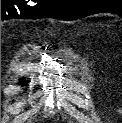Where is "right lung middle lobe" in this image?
Masks as SVG:
<instances>
[{"mask_svg": "<svg viewBox=\"0 0 122 123\" xmlns=\"http://www.w3.org/2000/svg\"><path fill=\"white\" fill-rule=\"evenodd\" d=\"M21 83H26V81L25 80H22V82Z\"/></svg>", "mask_w": 122, "mask_h": 123, "instance_id": "obj_1", "label": "right lung middle lobe"}]
</instances>
